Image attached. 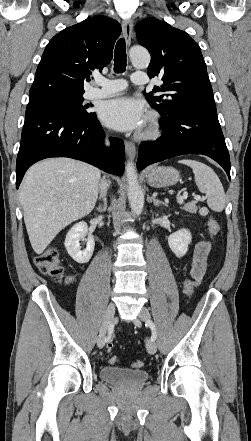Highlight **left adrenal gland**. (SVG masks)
<instances>
[{"instance_id":"left-adrenal-gland-1","label":"left adrenal gland","mask_w":251,"mask_h":441,"mask_svg":"<svg viewBox=\"0 0 251 441\" xmlns=\"http://www.w3.org/2000/svg\"><path fill=\"white\" fill-rule=\"evenodd\" d=\"M150 200H151V202H153L154 206H159V205L167 206V204H165L164 202L156 199V197L154 195L151 196Z\"/></svg>"}]
</instances>
